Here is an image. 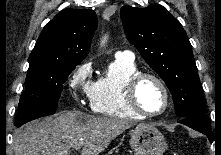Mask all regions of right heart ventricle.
<instances>
[{"instance_id": "1", "label": "right heart ventricle", "mask_w": 221, "mask_h": 155, "mask_svg": "<svg viewBox=\"0 0 221 155\" xmlns=\"http://www.w3.org/2000/svg\"><path fill=\"white\" fill-rule=\"evenodd\" d=\"M138 68L133 60L116 58L92 84L91 109L104 116L137 119L142 116L130 109L125 98V86Z\"/></svg>"}]
</instances>
